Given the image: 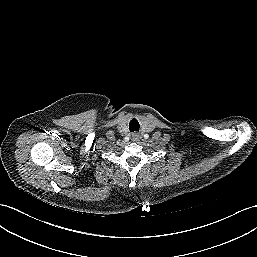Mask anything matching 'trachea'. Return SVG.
I'll use <instances>...</instances> for the list:
<instances>
[{"mask_svg": "<svg viewBox=\"0 0 257 257\" xmlns=\"http://www.w3.org/2000/svg\"><path fill=\"white\" fill-rule=\"evenodd\" d=\"M130 132L139 131V122L136 119H132L129 125Z\"/></svg>", "mask_w": 257, "mask_h": 257, "instance_id": "1", "label": "trachea"}]
</instances>
